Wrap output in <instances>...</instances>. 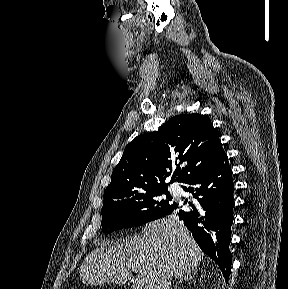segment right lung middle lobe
I'll return each instance as SVG.
<instances>
[{
	"label": "right lung middle lobe",
	"instance_id": "obj_1",
	"mask_svg": "<svg viewBox=\"0 0 288 289\" xmlns=\"http://www.w3.org/2000/svg\"><path fill=\"white\" fill-rule=\"evenodd\" d=\"M167 189V186L151 187L104 197L102 231L108 234L164 217L177 204L170 202Z\"/></svg>",
	"mask_w": 288,
	"mask_h": 289
}]
</instances>
